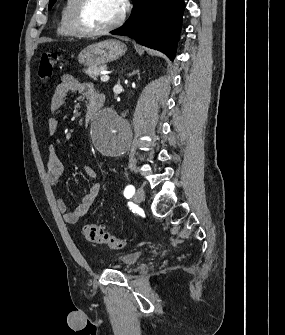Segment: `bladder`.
Segmentation results:
<instances>
[{"label":"bladder","mask_w":285,"mask_h":335,"mask_svg":"<svg viewBox=\"0 0 285 335\" xmlns=\"http://www.w3.org/2000/svg\"><path fill=\"white\" fill-rule=\"evenodd\" d=\"M143 251L135 250V251H126L121 256L115 258H125L127 263L125 265H135L137 266L142 258Z\"/></svg>","instance_id":"1"}]
</instances>
